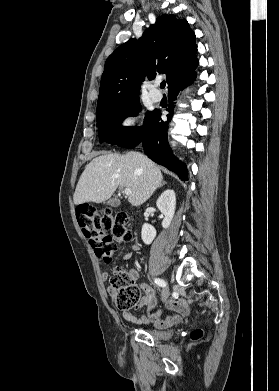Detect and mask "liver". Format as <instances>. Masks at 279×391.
I'll use <instances>...</instances> for the list:
<instances>
[{
    "mask_svg": "<svg viewBox=\"0 0 279 391\" xmlns=\"http://www.w3.org/2000/svg\"><path fill=\"white\" fill-rule=\"evenodd\" d=\"M162 183L159 167L140 152L101 155L86 166L73 200L76 205L102 203L121 186L131 190L128 202L137 207L145 203Z\"/></svg>",
    "mask_w": 279,
    "mask_h": 391,
    "instance_id": "liver-1",
    "label": "liver"
}]
</instances>
